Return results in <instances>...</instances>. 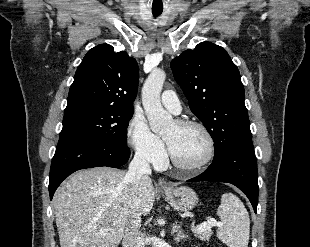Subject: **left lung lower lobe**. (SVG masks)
Listing matches in <instances>:
<instances>
[{
	"mask_svg": "<svg viewBox=\"0 0 310 247\" xmlns=\"http://www.w3.org/2000/svg\"><path fill=\"white\" fill-rule=\"evenodd\" d=\"M227 182L237 186L249 198L254 211L258 204V173L252 141L231 148L200 175L188 180Z\"/></svg>",
	"mask_w": 310,
	"mask_h": 247,
	"instance_id": "1",
	"label": "left lung lower lobe"
}]
</instances>
